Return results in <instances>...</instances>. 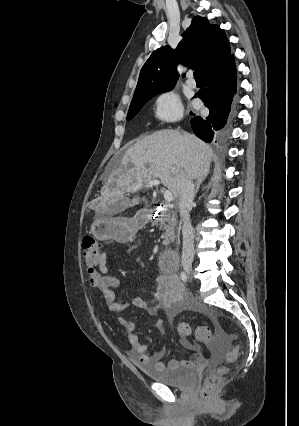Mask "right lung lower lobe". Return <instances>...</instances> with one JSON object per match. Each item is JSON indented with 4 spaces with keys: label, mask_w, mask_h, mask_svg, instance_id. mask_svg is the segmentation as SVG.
Wrapping results in <instances>:
<instances>
[{
    "label": "right lung lower lobe",
    "mask_w": 299,
    "mask_h": 426,
    "mask_svg": "<svg viewBox=\"0 0 299 426\" xmlns=\"http://www.w3.org/2000/svg\"><path fill=\"white\" fill-rule=\"evenodd\" d=\"M203 88L198 97L209 109V116L191 119L192 129L197 137L210 143L227 129V119L232 98L236 93V70L233 55L219 68L203 76ZM191 115H194L192 112Z\"/></svg>",
    "instance_id": "right-lung-lower-lobe-1"
}]
</instances>
